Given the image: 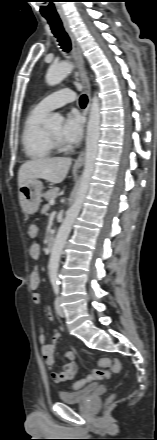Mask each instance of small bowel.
<instances>
[{
	"instance_id": "1",
	"label": "small bowel",
	"mask_w": 157,
	"mask_h": 440,
	"mask_svg": "<svg viewBox=\"0 0 157 440\" xmlns=\"http://www.w3.org/2000/svg\"><path fill=\"white\" fill-rule=\"evenodd\" d=\"M30 255L35 260H37L40 256V246L36 242V240L33 241L30 247ZM30 285L32 289L35 290L33 294L34 302L37 304H41L42 303L41 294L37 291L40 285V275L37 269H34L30 275ZM46 313L48 319L52 321L53 313L51 309L48 308ZM38 339L39 342L41 343V352L43 355L44 362L48 368L52 369L55 363L54 354H55L56 344L59 339V333L55 332L51 341L46 343L45 331L43 328H40ZM64 357L66 359V363L63 365L62 370L59 372L56 371L51 372V378L55 383H64L72 380L78 371V367L74 362L75 359L74 352L71 350H67L64 352Z\"/></svg>"
}]
</instances>
